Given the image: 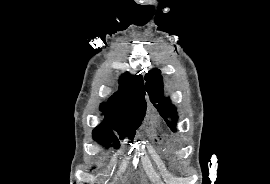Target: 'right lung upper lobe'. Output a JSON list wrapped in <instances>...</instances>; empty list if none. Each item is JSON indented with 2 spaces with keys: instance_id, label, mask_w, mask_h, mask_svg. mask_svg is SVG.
<instances>
[{
  "instance_id": "1",
  "label": "right lung upper lobe",
  "mask_w": 270,
  "mask_h": 184,
  "mask_svg": "<svg viewBox=\"0 0 270 184\" xmlns=\"http://www.w3.org/2000/svg\"><path fill=\"white\" fill-rule=\"evenodd\" d=\"M119 84V90L100 106L107 124L128 125L142 121L147 107L142 77L127 72L121 76Z\"/></svg>"
}]
</instances>
